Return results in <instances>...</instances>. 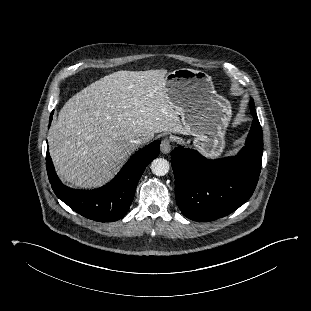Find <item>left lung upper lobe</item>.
<instances>
[{"label":"left lung upper lobe","mask_w":311,"mask_h":311,"mask_svg":"<svg viewBox=\"0 0 311 311\" xmlns=\"http://www.w3.org/2000/svg\"><path fill=\"white\" fill-rule=\"evenodd\" d=\"M250 110H251V112H255V107H254L253 99H251V102H250Z\"/></svg>","instance_id":"obj_1"}]
</instances>
